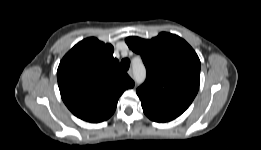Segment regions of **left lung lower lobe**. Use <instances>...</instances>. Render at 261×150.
<instances>
[{
    "instance_id": "0a47b994",
    "label": "left lung lower lobe",
    "mask_w": 261,
    "mask_h": 150,
    "mask_svg": "<svg viewBox=\"0 0 261 150\" xmlns=\"http://www.w3.org/2000/svg\"><path fill=\"white\" fill-rule=\"evenodd\" d=\"M142 108L146 116L156 122H168L178 117L145 105H142Z\"/></svg>"
}]
</instances>
